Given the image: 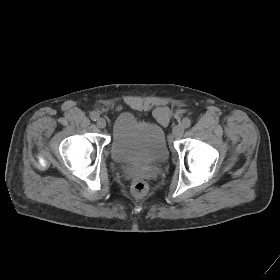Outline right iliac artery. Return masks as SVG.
I'll use <instances>...</instances> for the list:
<instances>
[{"label": "right iliac artery", "instance_id": "82829eb1", "mask_svg": "<svg viewBox=\"0 0 280 280\" xmlns=\"http://www.w3.org/2000/svg\"><path fill=\"white\" fill-rule=\"evenodd\" d=\"M99 117H100V115L97 113V112H91V114H90V118L93 120V121H96V120H98L99 119Z\"/></svg>", "mask_w": 280, "mask_h": 280}]
</instances>
